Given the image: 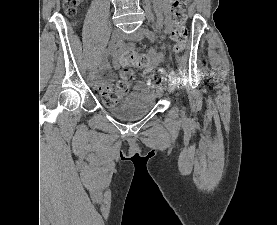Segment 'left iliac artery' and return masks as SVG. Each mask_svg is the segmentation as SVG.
<instances>
[{
    "label": "left iliac artery",
    "instance_id": "44dca946",
    "mask_svg": "<svg viewBox=\"0 0 277 225\" xmlns=\"http://www.w3.org/2000/svg\"><path fill=\"white\" fill-rule=\"evenodd\" d=\"M145 35L148 39H150L151 41H155L157 39L156 35L154 32H152L151 30H149L148 28L145 29ZM170 77H173L175 80L178 79V77L176 76V74L174 72L170 73Z\"/></svg>",
    "mask_w": 277,
    "mask_h": 225
}]
</instances>
